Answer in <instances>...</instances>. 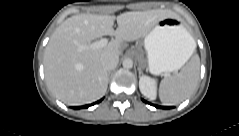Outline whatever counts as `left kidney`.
Masks as SVG:
<instances>
[{
    "mask_svg": "<svg viewBox=\"0 0 239 136\" xmlns=\"http://www.w3.org/2000/svg\"><path fill=\"white\" fill-rule=\"evenodd\" d=\"M139 89L141 93L150 100L156 99L157 85L156 81L153 78L147 75L141 76L139 79Z\"/></svg>",
    "mask_w": 239,
    "mask_h": 136,
    "instance_id": "5707ae66",
    "label": "left kidney"
}]
</instances>
